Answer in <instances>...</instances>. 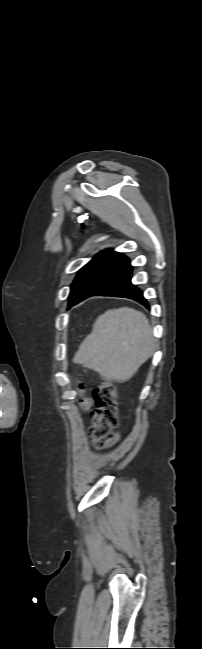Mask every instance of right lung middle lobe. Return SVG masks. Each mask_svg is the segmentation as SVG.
Returning a JSON list of instances; mask_svg holds the SVG:
<instances>
[{"label":"right lung middle lobe","instance_id":"1","mask_svg":"<svg viewBox=\"0 0 202 649\" xmlns=\"http://www.w3.org/2000/svg\"><path fill=\"white\" fill-rule=\"evenodd\" d=\"M116 257L117 256L115 255L98 254L82 269L79 270L74 282L71 285L69 307L78 303L79 297L82 294L83 290L86 288L87 284Z\"/></svg>","mask_w":202,"mask_h":649}]
</instances>
